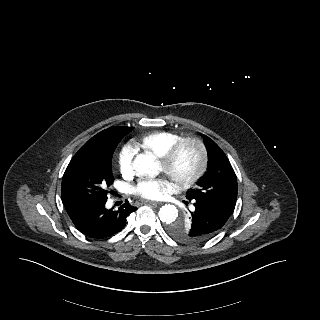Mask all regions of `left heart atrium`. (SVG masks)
<instances>
[{"label": "left heart atrium", "mask_w": 320, "mask_h": 320, "mask_svg": "<svg viewBox=\"0 0 320 320\" xmlns=\"http://www.w3.org/2000/svg\"><path fill=\"white\" fill-rule=\"evenodd\" d=\"M172 188L166 179H140L133 187V193L139 197L159 199Z\"/></svg>", "instance_id": "1"}]
</instances>
